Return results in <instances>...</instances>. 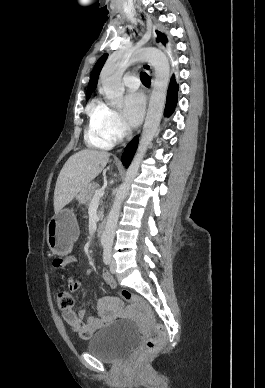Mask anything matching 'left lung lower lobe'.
Returning a JSON list of instances; mask_svg holds the SVG:
<instances>
[{"instance_id": "left-lung-lower-lobe-1", "label": "left lung lower lobe", "mask_w": 265, "mask_h": 388, "mask_svg": "<svg viewBox=\"0 0 265 388\" xmlns=\"http://www.w3.org/2000/svg\"><path fill=\"white\" fill-rule=\"evenodd\" d=\"M178 90H179V85L176 82L175 74H173L171 77V81L167 92V100H166L165 111H164V115L166 117L171 116L175 110V107L178 101Z\"/></svg>"}]
</instances>
